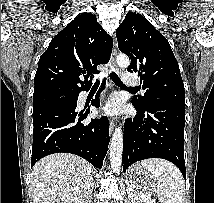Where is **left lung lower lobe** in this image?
Listing matches in <instances>:
<instances>
[{"label": "left lung lower lobe", "instance_id": "1", "mask_svg": "<svg viewBox=\"0 0 214 203\" xmlns=\"http://www.w3.org/2000/svg\"><path fill=\"white\" fill-rule=\"evenodd\" d=\"M184 126L185 106L154 104L137 110L125 124L123 171L136 161L162 158L175 164L186 179Z\"/></svg>", "mask_w": 214, "mask_h": 203}]
</instances>
